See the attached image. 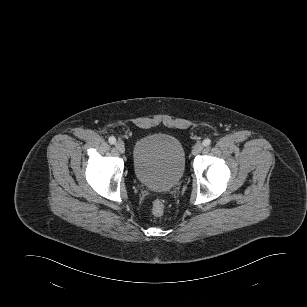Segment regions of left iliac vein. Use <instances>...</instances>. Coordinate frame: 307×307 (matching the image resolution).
<instances>
[{
    "label": "left iliac vein",
    "mask_w": 307,
    "mask_h": 307,
    "mask_svg": "<svg viewBox=\"0 0 307 307\" xmlns=\"http://www.w3.org/2000/svg\"><path fill=\"white\" fill-rule=\"evenodd\" d=\"M202 149H203V145L201 143H197L194 145L192 149V154L197 155L202 151Z\"/></svg>",
    "instance_id": "obj_1"
}]
</instances>
